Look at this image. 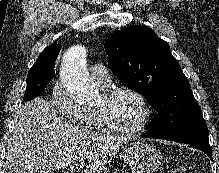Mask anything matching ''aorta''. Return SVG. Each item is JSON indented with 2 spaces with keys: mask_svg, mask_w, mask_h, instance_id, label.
<instances>
[{
  "mask_svg": "<svg viewBox=\"0 0 219 173\" xmlns=\"http://www.w3.org/2000/svg\"><path fill=\"white\" fill-rule=\"evenodd\" d=\"M86 58V49L76 45L68 49L62 59L63 85L77 101L90 100L97 95V89L86 69Z\"/></svg>",
  "mask_w": 219,
  "mask_h": 173,
  "instance_id": "aorta-1",
  "label": "aorta"
}]
</instances>
